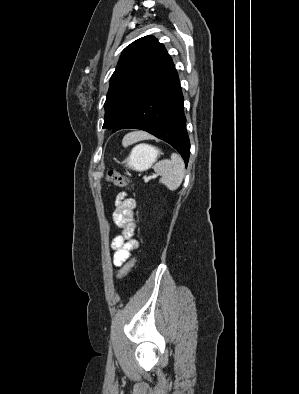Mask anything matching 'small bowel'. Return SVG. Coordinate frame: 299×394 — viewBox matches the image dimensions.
<instances>
[{
  "label": "small bowel",
  "mask_w": 299,
  "mask_h": 394,
  "mask_svg": "<svg viewBox=\"0 0 299 394\" xmlns=\"http://www.w3.org/2000/svg\"><path fill=\"white\" fill-rule=\"evenodd\" d=\"M135 208L136 201L133 198H128L124 192L117 194L113 220L121 229V234L116 236L111 244L114 250L113 263L116 267H121L129 259L131 252L139 246L138 241L133 239L136 229Z\"/></svg>",
  "instance_id": "small-bowel-1"
}]
</instances>
